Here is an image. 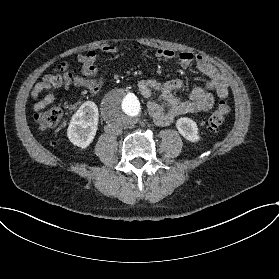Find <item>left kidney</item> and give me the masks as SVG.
<instances>
[{"mask_svg": "<svg viewBox=\"0 0 279 279\" xmlns=\"http://www.w3.org/2000/svg\"><path fill=\"white\" fill-rule=\"evenodd\" d=\"M176 128L179 134L191 143H199L201 136L195 120L190 117H181L176 120Z\"/></svg>", "mask_w": 279, "mask_h": 279, "instance_id": "obj_1", "label": "left kidney"}]
</instances>
